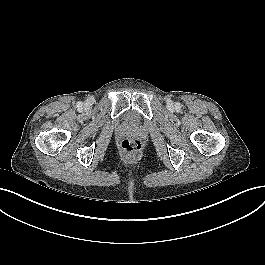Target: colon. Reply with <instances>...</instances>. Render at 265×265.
Returning <instances> with one entry per match:
<instances>
[{"label":"colon","instance_id":"5ec220e1","mask_svg":"<svg viewBox=\"0 0 265 265\" xmlns=\"http://www.w3.org/2000/svg\"><path fill=\"white\" fill-rule=\"evenodd\" d=\"M121 147L129 153H136L142 149V142L136 139L135 140L125 139L122 141Z\"/></svg>","mask_w":265,"mask_h":265}]
</instances>
